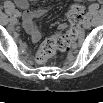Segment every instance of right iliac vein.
Listing matches in <instances>:
<instances>
[{
	"mask_svg": "<svg viewBox=\"0 0 103 103\" xmlns=\"http://www.w3.org/2000/svg\"><path fill=\"white\" fill-rule=\"evenodd\" d=\"M11 23H12V24H16V23H17V19H16V18H12V19H11Z\"/></svg>",
	"mask_w": 103,
	"mask_h": 103,
	"instance_id": "obj_1",
	"label": "right iliac vein"
}]
</instances>
